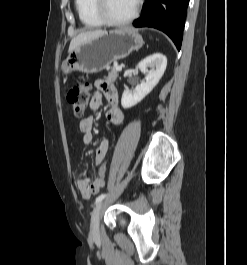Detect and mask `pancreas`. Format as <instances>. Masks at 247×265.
<instances>
[{
	"label": "pancreas",
	"mask_w": 247,
	"mask_h": 265,
	"mask_svg": "<svg viewBox=\"0 0 247 265\" xmlns=\"http://www.w3.org/2000/svg\"><path fill=\"white\" fill-rule=\"evenodd\" d=\"M116 67H117V66H113V67H111V70L108 72V77H107V79H108L109 81H112V82L116 81V79H117V77H118V70H116Z\"/></svg>",
	"instance_id": "pancreas-1"
}]
</instances>
